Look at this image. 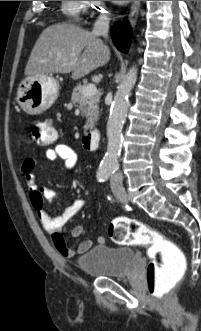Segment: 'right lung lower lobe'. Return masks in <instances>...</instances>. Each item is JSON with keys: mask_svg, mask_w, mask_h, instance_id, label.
<instances>
[{"mask_svg": "<svg viewBox=\"0 0 201 331\" xmlns=\"http://www.w3.org/2000/svg\"><path fill=\"white\" fill-rule=\"evenodd\" d=\"M111 36L114 45L121 52H126L130 44L131 39V29L129 25L125 22H117L111 28Z\"/></svg>", "mask_w": 201, "mask_h": 331, "instance_id": "obj_1", "label": "right lung lower lobe"}]
</instances>
